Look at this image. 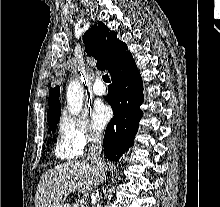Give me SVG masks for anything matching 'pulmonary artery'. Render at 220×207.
I'll return each mask as SVG.
<instances>
[{
    "instance_id": "1",
    "label": "pulmonary artery",
    "mask_w": 220,
    "mask_h": 207,
    "mask_svg": "<svg viewBox=\"0 0 220 207\" xmlns=\"http://www.w3.org/2000/svg\"><path fill=\"white\" fill-rule=\"evenodd\" d=\"M93 93L96 96H103L106 93V88L100 81H96L93 86Z\"/></svg>"
}]
</instances>
